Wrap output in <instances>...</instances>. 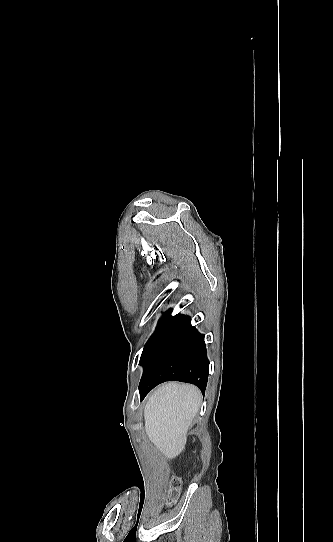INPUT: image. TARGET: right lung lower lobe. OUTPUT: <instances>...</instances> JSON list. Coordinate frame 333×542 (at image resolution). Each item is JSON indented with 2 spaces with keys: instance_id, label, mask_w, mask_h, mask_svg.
Instances as JSON below:
<instances>
[{
  "instance_id": "obj_1",
  "label": "right lung lower lobe",
  "mask_w": 333,
  "mask_h": 542,
  "mask_svg": "<svg viewBox=\"0 0 333 542\" xmlns=\"http://www.w3.org/2000/svg\"><path fill=\"white\" fill-rule=\"evenodd\" d=\"M140 364L144 366L141 400L155 386L170 380L194 384L205 393L209 374L206 344L189 317L166 314L146 343Z\"/></svg>"
}]
</instances>
